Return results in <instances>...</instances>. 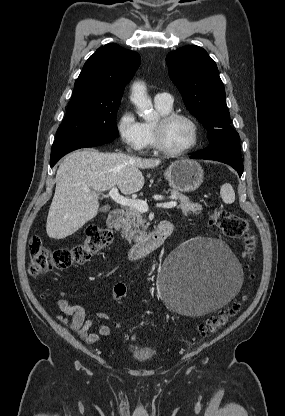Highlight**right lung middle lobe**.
I'll use <instances>...</instances> for the list:
<instances>
[{"label": "right lung middle lobe", "mask_w": 285, "mask_h": 416, "mask_svg": "<svg viewBox=\"0 0 285 416\" xmlns=\"http://www.w3.org/2000/svg\"><path fill=\"white\" fill-rule=\"evenodd\" d=\"M120 100L81 101L71 99L56 139L70 137H118L116 114Z\"/></svg>", "instance_id": "right-lung-middle-lobe-1"}]
</instances>
